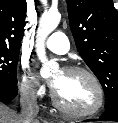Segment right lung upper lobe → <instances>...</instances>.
I'll use <instances>...</instances> for the list:
<instances>
[{"mask_svg": "<svg viewBox=\"0 0 118 123\" xmlns=\"http://www.w3.org/2000/svg\"><path fill=\"white\" fill-rule=\"evenodd\" d=\"M26 9V0H0V48L20 50Z\"/></svg>", "mask_w": 118, "mask_h": 123, "instance_id": "obj_1", "label": "right lung upper lobe"}]
</instances>
